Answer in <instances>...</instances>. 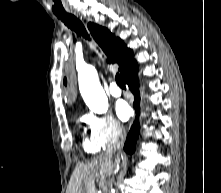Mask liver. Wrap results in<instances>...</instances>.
Wrapping results in <instances>:
<instances>
[{"mask_svg":"<svg viewBox=\"0 0 221 193\" xmlns=\"http://www.w3.org/2000/svg\"><path fill=\"white\" fill-rule=\"evenodd\" d=\"M117 166L116 155L108 151L87 164H77L70 177L67 193H95V174L110 176Z\"/></svg>","mask_w":221,"mask_h":193,"instance_id":"6515ba94","label":"liver"}]
</instances>
